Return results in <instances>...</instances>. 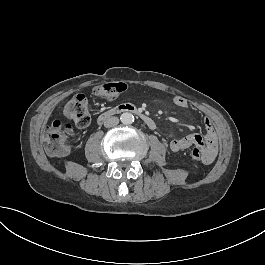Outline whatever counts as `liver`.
Listing matches in <instances>:
<instances>
[{
  "label": "liver",
  "mask_w": 265,
  "mask_h": 265,
  "mask_svg": "<svg viewBox=\"0 0 265 265\" xmlns=\"http://www.w3.org/2000/svg\"><path fill=\"white\" fill-rule=\"evenodd\" d=\"M64 113H65V114H67V113H68V110H67V109H65V110H64Z\"/></svg>",
  "instance_id": "6515ba94"
}]
</instances>
